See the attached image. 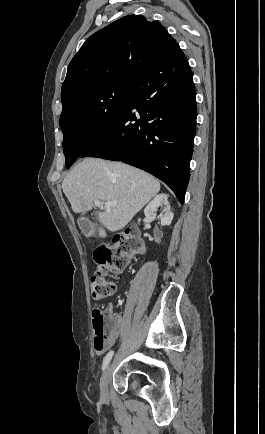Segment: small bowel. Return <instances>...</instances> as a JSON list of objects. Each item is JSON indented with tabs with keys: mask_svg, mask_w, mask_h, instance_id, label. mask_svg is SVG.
Returning a JSON list of instances; mask_svg holds the SVG:
<instances>
[{
	"mask_svg": "<svg viewBox=\"0 0 265 434\" xmlns=\"http://www.w3.org/2000/svg\"><path fill=\"white\" fill-rule=\"evenodd\" d=\"M105 312L108 314V332L103 346V351L111 348L116 343L127 324L126 317L121 313L114 312L112 305H108ZM103 351L95 352V354L101 355Z\"/></svg>",
	"mask_w": 265,
	"mask_h": 434,
	"instance_id": "c3829d8e",
	"label": "small bowel"
}]
</instances>
